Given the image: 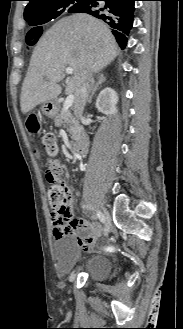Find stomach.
I'll return each instance as SVG.
<instances>
[{"label":"stomach","instance_id":"1","mask_svg":"<svg viewBox=\"0 0 183 329\" xmlns=\"http://www.w3.org/2000/svg\"><path fill=\"white\" fill-rule=\"evenodd\" d=\"M58 111L56 99L45 102L42 105V112L47 116H52Z\"/></svg>","mask_w":183,"mask_h":329}]
</instances>
